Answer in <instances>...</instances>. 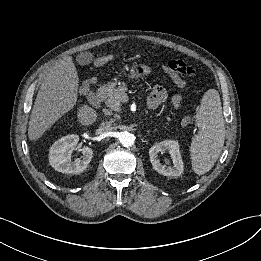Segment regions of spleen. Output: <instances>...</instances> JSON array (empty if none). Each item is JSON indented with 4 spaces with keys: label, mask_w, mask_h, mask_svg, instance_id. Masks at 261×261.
I'll use <instances>...</instances> for the list:
<instances>
[{
    "label": "spleen",
    "mask_w": 261,
    "mask_h": 261,
    "mask_svg": "<svg viewBox=\"0 0 261 261\" xmlns=\"http://www.w3.org/2000/svg\"><path fill=\"white\" fill-rule=\"evenodd\" d=\"M199 128L190 146L192 169L198 175L208 172L220 156L225 140V121L218 91L204 94L196 114Z\"/></svg>",
    "instance_id": "obj_1"
}]
</instances>
